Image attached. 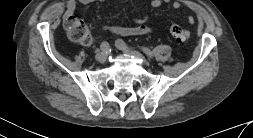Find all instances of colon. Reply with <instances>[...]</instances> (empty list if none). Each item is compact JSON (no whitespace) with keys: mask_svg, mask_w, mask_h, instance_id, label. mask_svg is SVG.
I'll use <instances>...</instances> for the list:
<instances>
[{"mask_svg":"<svg viewBox=\"0 0 253 138\" xmlns=\"http://www.w3.org/2000/svg\"><path fill=\"white\" fill-rule=\"evenodd\" d=\"M65 28L71 40L87 45L91 43L92 37L87 22L76 17L65 19ZM170 34L180 43H184L189 38V33L183 27L173 24L170 26Z\"/></svg>","mask_w":253,"mask_h":138,"instance_id":"colon-1","label":"colon"}]
</instances>
